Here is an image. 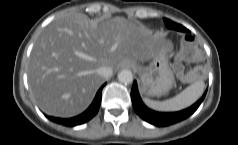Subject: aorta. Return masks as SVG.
Instances as JSON below:
<instances>
[{
  "label": "aorta",
  "instance_id": "obj_1",
  "mask_svg": "<svg viewBox=\"0 0 238 145\" xmlns=\"http://www.w3.org/2000/svg\"><path fill=\"white\" fill-rule=\"evenodd\" d=\"M118 80L124 84H130L133 81V74L130 70L124 69L118 73Z\"/></svg>",
  "mask_w": 238,
  "mask_h": 145
}]
</instances>
